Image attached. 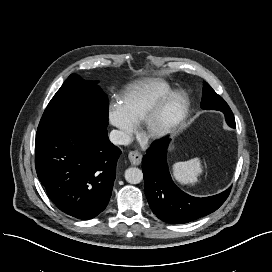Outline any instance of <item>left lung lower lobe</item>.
Returning a JSON list of instances; mask_svg holds the SVG:
<instances>
[{
  "instance_id": "0a47b994",
  "label": "left lung lower lobe",
  "mask_w": 272,
  "mask_h": 272,
  "mask_svg": "<svg viewBox=\"0 0 272 272\" xmlns=\"http://www.w3.org/2000/svg\"><path fill=\"white\" fill-rule=\"evenodd\" d=\"M224 114L227 124L231 126L235 120L232 111L226 110ZM169 142L167 137L156 141L142 160L145 195L153 213L164 222L183 224L217 210L227 199L231 187L217 195L203 198L190 196L180 190L172 181L166 162Z\"/></svg>"
}]
</instances>
